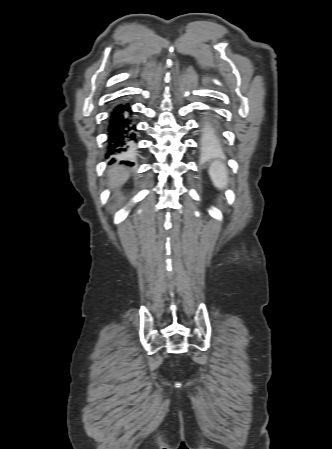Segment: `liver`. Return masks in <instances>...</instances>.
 Wrapping results in <instances>:
<instances>
[{"label":"liver","mask_w":332,"mask_h":449,"mask_svg":"<svg viewBox=\"0 0 332 449\" xmlns=\"http://www.w3.org/2000/svg\"><path fill=\"white\" fill-rule=\"evenodd\" d=\"M108 184L110 187H119L126 182L129 177V173L123 166H112L108 170Z\"/></svg>","instance_id":"liver-1"}]
</instances>
